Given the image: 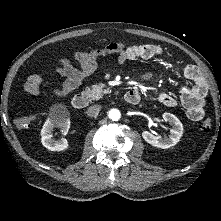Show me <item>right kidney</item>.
I'll return each mask as SVG.
<instances>
[{"instance_id":"1","label":"right kidney","mask_w":221,"mask_h":221,"mask_svg":"<svg viewBox=\"0 0 221 221\" xmlns=\"http://www.w3.org/2000/svg\"><path fill=\"white\" fill-rule=\"evenodd\" d=\"M61 128L62 132L66 134L70 127V122L67 119H49L45 122L42 130H41V142L43 146L51 151H62L69 147V144L66 139H61L56 141L52 137V131L54 127Z\"/></svg>"}]
</instances>
